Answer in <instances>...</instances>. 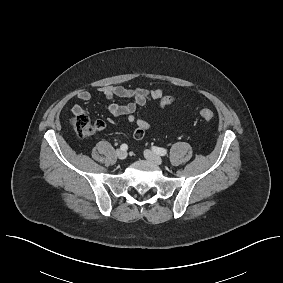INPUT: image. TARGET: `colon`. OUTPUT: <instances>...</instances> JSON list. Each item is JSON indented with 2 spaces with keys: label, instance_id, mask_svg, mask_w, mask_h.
<instances>
[{
  "label": "colon",
  "instance_id": "colon-1",
  "mask_svg": "<svg viewBox=\"0 0 283 283\" xmlns=\"http://www.w3.org/2000/svg\"><path fill=\"white\" fill-rule=\"evenodd\" d=\"M199 115L205 121H210L214 118V112L206 108L201 109ZM71 124L75 133L81 138L92 136L104 128L102 121L92 123L84 113L76 114L71 120Z\"/></svg>",
  "mask_w": 283,
  "mask_h": 283
}]
</instances>
